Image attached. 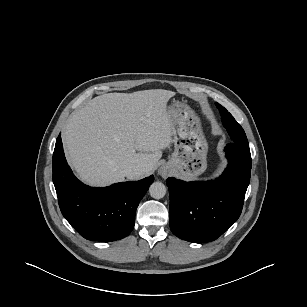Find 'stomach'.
<instances>
[{
    "label": "stomach",
    "mask_w": 307,
    "mask_h": 307,
    "mask_svg": "<svg viewBox=\"0 0 307 307\" xmlns=\"http://www.w3.org/2000/svg\"><path fill=\"white\" fill-rule=\"evenodd\" d=\"M170 117L174 152L167 162L180 178H197L207 169L208 143L200 118L186 104L174 101L167 106Z\"/></svg>",
    "instance_id": "0dacf381"
}]
</instances>
